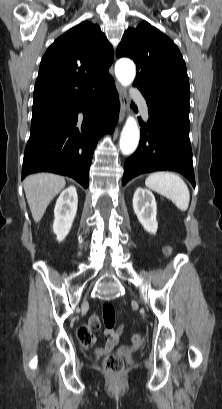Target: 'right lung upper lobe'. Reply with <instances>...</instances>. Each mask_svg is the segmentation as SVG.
<instances>
[{"label":"right lung upper lobe","instance_id":"cb5924a9","mask_svg":"<svg viewBox=\"0 0 222 409\" xmlns=\"http://www.w3.org/2000/svg\"><path fill=\"white\" fill-rule=\"evenodd\" d=\"M113 48L97 24L81 22L60 36L42 58L33 110L84 95L110 76Z\"/></svg>","mask_w":222,"mask_h":409}]
</instances>
